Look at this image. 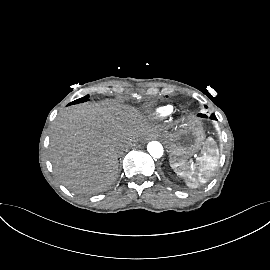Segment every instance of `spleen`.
<instances>
[{"mask_svg": "<svg viewBox=\"0 0 270 270\" xmlns=\"http://www.w3.org/2000/svg\"><path fill=\"white\" fill-rule=\"evenodd\" d=\"M201 152L202 156L199 157L197 163L189 165L186 161H183L181 163L182 171L177 172L175 170V172L183 177H188L193 182L196 181V177L200 182H206L218 164L217 155L219 151L214 141L208 139Z\"/></svg>", "mask_w": 270, "mask_h": 270, "instance_id": "3e777b00", "label": "spleen"}]
</instances>
